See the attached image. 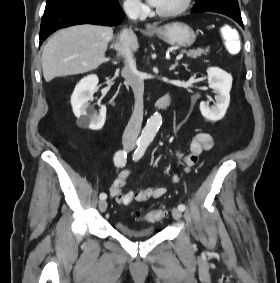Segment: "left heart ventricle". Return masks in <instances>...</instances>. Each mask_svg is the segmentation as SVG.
<instances>
[{"label": "left heart ventricle", "instance_id": "left-heart-ventricle-1", "mask_svg": "<svg viewBox=\"0 0 280 283\" xmlns=\"http://www.w3.org/2000/svg\"><path fill=\"white\" fill-rule=\"evenodd\" d=\"M183 0H161L159 5L157 6V9L159 10H171L176 7H178Z\"/></svg>", "mask_w": 280, "mask_h": 283}]
</instances>
